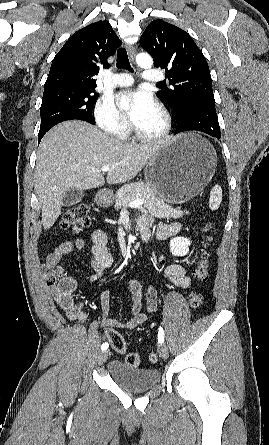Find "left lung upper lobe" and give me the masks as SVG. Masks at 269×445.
<instances>
[{
    "instance_id": "left-lung-upper-lobe-1",
    "label": "left lung upper lobe",
    "mask_w": 269,
    "mask_h": 445,
    "mask_svg": "<svg viewBox=\"0 0 269 445\" xmlns=\"http://www.w3.org/2000/svg\"><path fill=\"white\" fill-rule=\"evenodd\" d=\"M140 44L153 57L155 67L166 70L172 88L157 94L174 111L177 122L192 104H215L206 58L187 32L157 19L147 26Z\"/></svg>"
}]
</instances>
